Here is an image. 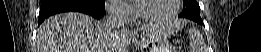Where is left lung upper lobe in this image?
I'll use <instances>...</instances> for the list:
<instances>
[{
    "label": "left lung upper lobe",
    "instance_id": "left-lung-upper-lobe-1",
    "mask_svg": "<svg viewBox=\"0 0 261 52\" xmlns=\"http://www.w3.org/2000/svg\"><path fill=\"white\" fill-rule=\"evenodd\" d=\"M183 4L184 8L183 12L180 14V17L188 18L203 24L200 17V7L196 0H183Z\"/></svg>",
    "mask_w": 261,
    "mask_h": 52
}]
</instances>
